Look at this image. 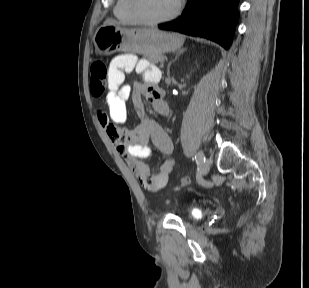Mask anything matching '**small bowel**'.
Returning <instances> with one entry per match:
<instances>
[{"label":"small bowel","mask_w":309,"mask_h":288,"mask_svg":"<svg viewBox=\"0 0 309 288\" xmlns=\"http://www.w3.org/2000/svg\"><path fill=\"white\" fill-rule=\"evenodd\" d=\"M133 69L142 74L143 82H137L130 87L124 84V80L125 74ZM158 77V70L149 61L137 59L133 54L116 56L108 68V113L98 111V119L115 149L126 158L137 179L151 193H157L167 185L174 165V161L169 158L173 151L172 140L158 123L147 116L142 100L144 96L157 114H169L170 109L163 98L164 92L158 85ZM129 98L142 119L141 123L132 129L120 126L126 120V102ZM150 141L162 155L168 157L160 163L157 171H153L143 161L151 156V148L148 145Z\"/></svg>","instance_id":"small-bowel-1"}]
</instances>
